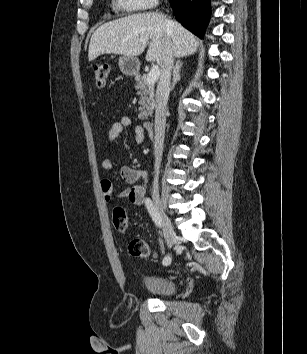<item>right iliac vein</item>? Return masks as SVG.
<instances>
[{
    "mask_svg": "<svg viewBox=\"0 0 307 354\" xmlns=\"http://www.w3.org/2000/svg\"><path fill=\"white\" fill-rule=\"evenodd\" d=\"M154 200H155L156 206H157L159 213H160L161 224H162V228H163V234H164L165 241L167 243V246L169 248H171L174 245V243L176 242V234L173 230V227H172V224L170 222L168 215L166 214V212L163 209L160 199L158 197H155Z\"/></svg>",
    "mask_w": 307,
    "mask_h": 354,
    "instance_id": "right-iliac-vein-1",
    "label": "right iliac vein"
}]
</instances>
